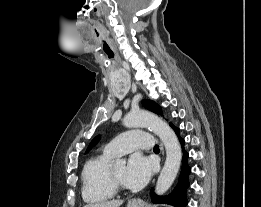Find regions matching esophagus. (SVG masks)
<instances>
[{"label":"esophagus","mask_w":261,"mask_h":207,"mask_svg":"<svg viewBox=\"0 0 261 207\" xmlns=\"http://www.w3.org/2000/svg\"><path fill=\"white\" fill-rule=\"evenodd\" d=\"M160 150H161V154H162V156L164 155V149H163V146H162V144H160ZM138 201L136 200V199H133L132 200V203H137Z\"/></svg>","instance_id":"esophagus-1"}]
</instances>
